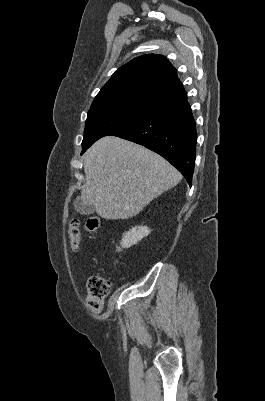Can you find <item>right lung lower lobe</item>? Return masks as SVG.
Returning a JSON list of instances; mask_svg holds the SVG:
<instances>
[{
	"label": "right lung lower lobe",
	"instance_id": "right-lung-lower-lobe-1",
	"mask_svg": "<svg viewBox=\"0 0 265 401\" xmlns=\"http://www.w3.org/2000/svg\"><path fill=\"white\" fill-rule=\"evenodd\" d=\"M187 96L164 104L157 111L118 128L109 135L133 141L160 154L192 185L196 158V122Z\"/></svg>",
	"mask_w": 265,
	"mask_h": 401
}]
</instances>
